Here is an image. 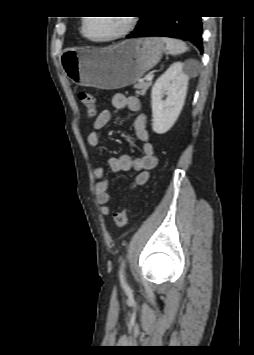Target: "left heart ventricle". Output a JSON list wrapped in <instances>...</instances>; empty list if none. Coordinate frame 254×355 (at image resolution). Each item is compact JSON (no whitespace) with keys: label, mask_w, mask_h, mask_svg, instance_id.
<instances>
[{"label":"left heart ventricle","mask_w":254,"mask_h":355,"mask_svg":"<svg viewBox=\"0 0 254 355\" xmlns=\"http://www.w3.org/2000/svg\"><path fill=\"white\" fill-rule=\"evenodd\" d=\"M126 22L125 17H92L88 19L85 31L95 39L108 38L120 32Z\"/></svg>","instance_id":"b2bd125f"}]
</instances>
